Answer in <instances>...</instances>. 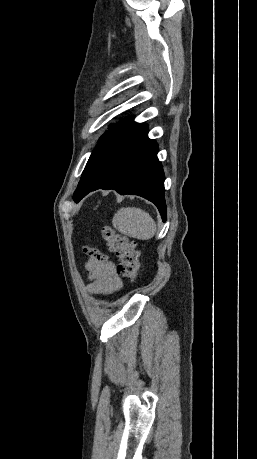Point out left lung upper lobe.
I'll list each match as a JSON object with an SVG mask.
<instances>
[{"label":"left lung upper lobe","instance_id":"1","mask_svg":"<svg viewBox=\"0 0 257 459\" xmlns=\"http://www.w3.org/2000/svg\"><path fill=\"white\" fill-rule=\"evenodd\" d=\"M105 137V134L100 138L99 143L95 150L92 152L86 167L82 173L81 180L77 186L76 191L74 192L73 199L76 202H79L86 194L87 190L90 188L92 183L95 180L96 174L100 166V146Z\"/></svg>","mask_w":257,"mask_h":459}]
</instances>
